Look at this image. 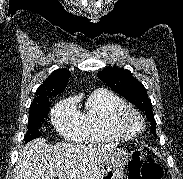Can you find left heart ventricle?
<instances>
[{"label": "left heart ventricle", "mask_w": 183, "mask_h": 179, "mask_svg": "<svg viewBox=\"0 0 183 179\" xmlns=\"http://www.w3.org/2000/svg\"><path fill=\"white\" fill-rule=\"evenodd\" d=\"M127 125H128V127H129L130 129H132V130H136V129H138V127H139L138 120H137L135 117H133V116H130V117L128 118V120H127Z\"/></svg>", "instance_id": "left-heart-ventricle-1"}]
</instances>
